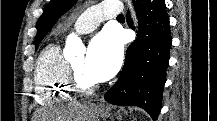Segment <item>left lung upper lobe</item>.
Listing matches in <instances>:
<instances>
[{"mask_svg": "<svg viewBox=\"0 0 217 121\" xmlns=\"http://www.w3.org/2000/svg\"><path fill=\"white\" fill-rule=\"evenodd\" d=\"M77 0H51L44 10L37 23V35L35 37V47L53 27L61 14L66 12Z\"/></svg>", "mask_w": 217, "mask_h": 121, "instance_id": "obj_1", "label": "left lung upper lobe"}]
</instances>
